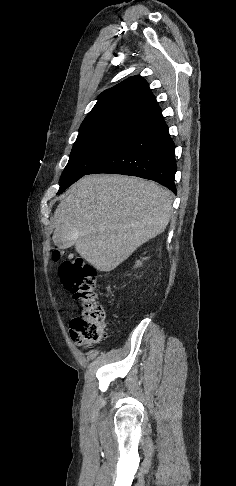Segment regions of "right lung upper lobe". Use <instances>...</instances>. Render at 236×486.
<instances>
[{
    "label": "right lung upper lobe",
    "instance_id": "obj_1",
    "mask_svg": "<svg viewBox=\"0 0 236 486\" xmlns=\"http://www.w3.org/2000/svg\"><path fill=\"white\" fill-rule=\"evenodd\" d=\"M161 109L148 83L131 76L103 91L91 112L83 120L79 134L116 124H138Z\"/></svg>",
    "mask_w": 236,
    "mask_h": 486
}]
</instances>
